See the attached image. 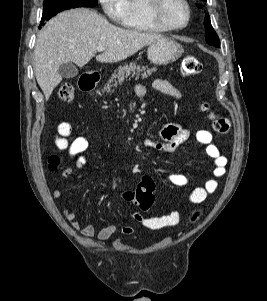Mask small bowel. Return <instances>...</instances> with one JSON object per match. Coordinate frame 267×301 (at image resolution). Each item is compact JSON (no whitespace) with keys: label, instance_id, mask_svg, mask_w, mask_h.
Listing matches in <instances>:
<instances>
[{"label":"small bowel","instance_id":"c3829d8e","mask_svg":"<svg viewBox=\"0 0 267 301\" xmlns=\"http://www.w3.org/2000/svg\"><path fill=\"white\" fill-rule=\"evenodd\" d=\"M152 87L161 92L162 94L171 96L175 99H180L182 94L180 90L175 87L171 82L164 79H156L152 83ZM135 92L138 96L143 97L146 94V86L137 84ZM72 134V125L69 122H60L56 128L55 145L60 150H66L71 159L74 160L75 166L79 170L86 167V157L83 153L88 149L90 138L87 136H78L69 141ZM190 130L184 128L177 123H169L163 126L157 135V139H146L144 141L147 147L164 153H174L177 148L186 142L190 137ZM196 141L205 146L207 156L213 160V175L215 178H221L226 174L227 158L220 152L218 146L214 143L213 133L208 129H202L195 134ZM73 169L70 167L62 170L63 177H71ZM168 180L175 186H185L189 183V179L180 173H171L167 175ZM218 188L216 179H209L203 186L196 187L192 190L189 196V201L193 204L203 202L208 195L214 193ZM63 192L60 189H55L53 197L60 200ZM120 199L125 202H135V193L133 191H123L120 194ZM64 217L70 222L71 226L78 230L85 237H93L95 228L91 224L84 225L78 221L76 213L63 209ZM132 218L141 222L144 226L151 229H160L177 225L181 220L179 212H172L168 215L155 218H143L139 213H134ZM117 230L115 223H110L98 231L97 237L101 241L109 239ZM131 226H124L121 229L123 234L132 233Z\"/></svg>","mask_w":267,"mask_h":301}]
</instances>
